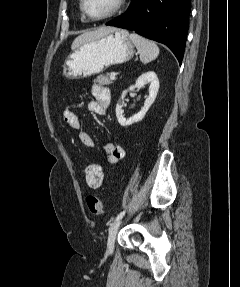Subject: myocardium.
<instances>
[{"label": "myocardium", "instance_id": "myocardium-1", "mask_svg": "<svg viewBox=\"0 0 240 287\" xmlns=\"http://www.w3.org/2000/svg\"><path fill=\"white\" fill-rule=\"evenodd\" d=\"M124 2H125V0H115L112 9L108 13H106L102 16H98V17H94V16L89 14V12L86 9V0L80 1V8H81L83 15L87 19H89L90 21H94V22H100V21H105V20L110 19L111 17L115 16L120 11V9L123 7Z\"/></svg>", "mask_w": 240, "mask_h": 287}]
</instances>
